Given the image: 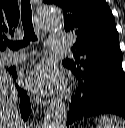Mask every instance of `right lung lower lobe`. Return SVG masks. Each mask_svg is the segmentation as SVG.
<instances>
[{
    "label": "right lung lower lobe",
    "instance_id": "right-lung-lower-lobe-1",
    "mask_svg": "<svg viewBox=\"0 0 125 128\" xmlns=\"http://www.w3.org/2000/svg\"><path fill=\"white\" fill-rule=\"evenodd\" d=\"M9 73L13 77L14 81L16 82V71L15 68H9ZM18 94L21 98L20 102V113L24 121L28 119V116L31 112V104L29 101V97L27 96L26 91L22 90L17 84H16Z\"/></svg>",
    "mask_w": 125,
    "mask_h": 128
}]
</instances>
